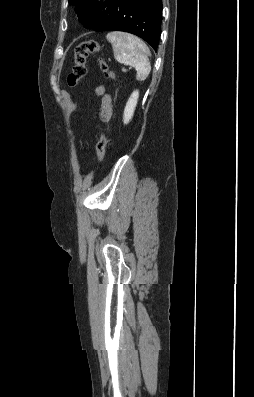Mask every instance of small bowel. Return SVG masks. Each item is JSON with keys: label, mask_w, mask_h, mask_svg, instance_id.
Segmentation results:
<instances>
[{"label": "small bowel", "mask_w": 254, "mask_h": 397, "mask_svg": "<svg viewBox=\"0 0 254 397\" xmlns=\"http://www.w3.org/2000/svg\"><path fill=\"white\" fill-rule=\"evenodd\" d=\"M96 93L101 96L100 118L102 121L109 123L112 117V99L109 94L104 92V88L102 86L96 89Z\"/></svg>", "instance_id": "c3829d8e"}]
</instances>
